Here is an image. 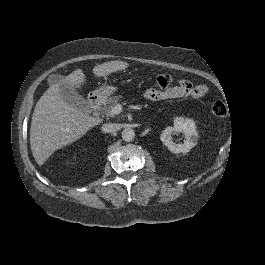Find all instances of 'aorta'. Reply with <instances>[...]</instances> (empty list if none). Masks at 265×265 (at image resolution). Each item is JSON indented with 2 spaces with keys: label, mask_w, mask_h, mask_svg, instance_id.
<instances>
[{
  "label": "aorta",
  "mask_w": 265,
  "mask_h": 265,
  "mask_svg": "<svg viewBox=\"0 0 265 265\" xmlns=\"http://www.w3.org/2000/svg\"><path fill=\"white\" fill-rule=\"evenodd\" d=\"M135 138V132L133 129H124L122 131V139L125 142H132Z\"/></svg>",
  "instance_id": "1"
}]
</instances>
